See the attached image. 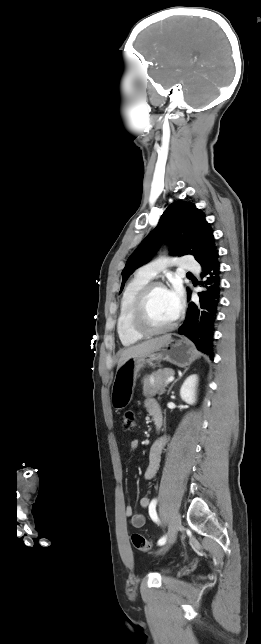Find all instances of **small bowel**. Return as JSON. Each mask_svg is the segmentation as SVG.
<instances>
[{
  "mask_svg": "<svg viewBox=\"0 0 261 644\" xmlns=\"http://www.w3.org/2000/svg\"><path fill=\"white\" fill-rule=\"evenodd\" d=\"M145 408L149 415L153 417V419H155L156 417H160L162 419L160 406L155 399H147L145 401ZM166 441V437H161L152 444L148 456V466L144 472V478L146 480H151L155 477ZM138 446V440H132L129 446L130 451H135ZM139 504L144 509L149 508L150 499L147 496L141 497ZM125 516L129 519L130 524L135 528H140L145 525V516L142 513H136L131 505H127L125 507Z\"/></svg>",
  "mask_w": 261,
  "mask_h": 644,
  "instance_id": "obj_1",
  "label": "small bowel"
}]
</instances>
